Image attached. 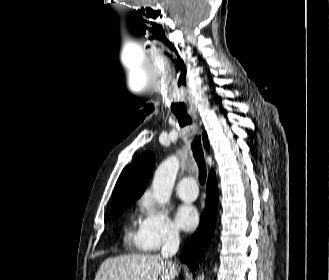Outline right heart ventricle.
Returning <instances> with one entry per match:
<instances>
[{
	"instance_id": "obj_1",
	"label": "right heart ventricle",
	"mask_w": 329,
	"mask_h": 280,
	"mask_svg": "<svg viewBox=\"0 0 329 280\" xmlns=\"http://www.w3.org/2000/svg\"><path fill=\"white\" fill-rule=\"evenodd\" d=\"M125 242L129 247L146 251L147 246L142 236L141 224L132 221L125 235Z\"/></svg>"
}]
</instances>
